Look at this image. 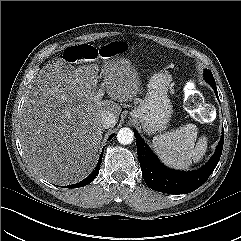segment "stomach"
I'll return each instance as SVG.
<instances>
[{
  "instance_id": "stomach-1",
  "label": "stomach",
  "mask_w": 241,
  "mask_h": 241,
  "mask_svg": "<svg viewBox=\"0 0 241 241\" xmlns=\"http://www.w3.org/2000/svg\"><path fill=\"white\" fill-rule=\"evenodd\" d=\"M171 80L165 73L154 74L149 83L145 97L130 112V118L139 122L144 132L154 134L167 128L173 113V106L168 92Z\"/></svg>"
}]
</instances>
